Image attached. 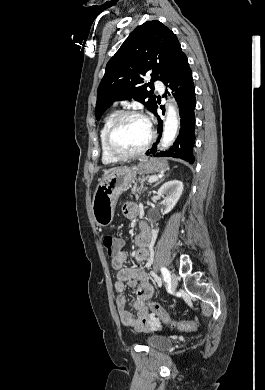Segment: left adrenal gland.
Returning <instances> with one entry per match:
<instances>
[{
	"label": "left adrenal gland",
	"mask_w": 265,
	"mask_h": 390,
	"mask_svg": "<svg viewBox=\"0 0 265 390\" xmlns=\"http://www.w3.org/2000/svg\"><path fill=\"white\" fill-rule=\"evenodd\" d=\"M165 177L161 178L154 186H157L158 184H160V182H162L164 180Z\"/></svg>",
	"instance_id": "1"
}]
</instances>
